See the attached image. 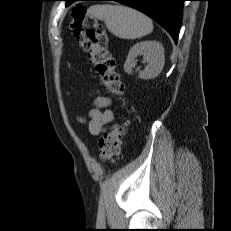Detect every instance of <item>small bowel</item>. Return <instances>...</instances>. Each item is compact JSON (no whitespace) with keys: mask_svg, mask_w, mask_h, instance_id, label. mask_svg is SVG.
Wrapping results in <instances>:
<instances>
[{"mask_svg":"<svg viewBox=\"0 0 231 231\" xmlns=\"http://www.w3.org/2000/svg\"><path fill=\"white\" fill-rule=\"evenodd\" d=\"M109 104L108 98L98 96L95 99V107L89 111L87 118H79V121L87 126L90 134L95 136L103 134L107 125L114 120L115 115L108 108Z\"/></svg>","mask_w":231,"mask_h":231,"instance_id":"obj_1","label":"small bowel"}]
</instances>
